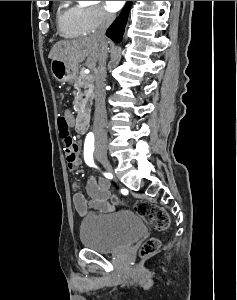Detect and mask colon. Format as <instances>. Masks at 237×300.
I'll use <instances>...</instances> for the list:
<instances>
[{"label": "colon", "mask_w": 237, "mask_h": 300, "mask_svg": "<svg viewBox=\"0 0 237 300\" xmlns=\"http://www.w3.org/2000/svg\"><path fill=\"white\" fill-rule=\"evenodd\" d=\"M59 135L66 150L77 145L76 138L70 131V126L64 116L58 119ZM134 211L144 218L149 226L158 231L166 230L169 227L170 219L164 208L150 203L146 200H137L134 204ZM159 240L149 238L140 247V254L144 257L154 254L159 248Z\"/></svg>", "instance_id": "5ec220e1"}]
</instances>
